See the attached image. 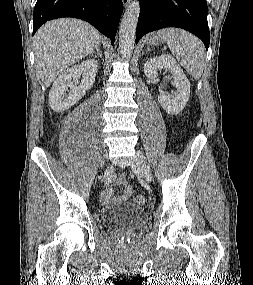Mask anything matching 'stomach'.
I'll return each mask as SVG.
<instances>
[{"instance_id": "0dacf381", "label": "stomach", "mask_w": 253, "mask_h": 285, "mask_svg": "<svg viewBox=\"0 0 253 285\" xmlns=\"http://www.w3.org/2000/svg\"><path fill=\"white\" fill-rule=\"evenodd\" d=\"M165 41L162 37H160L158 34H151L150 37L147 39V43L149 45H158Z\"/></svg>"}]
</instances>
